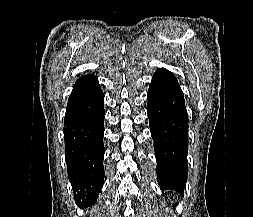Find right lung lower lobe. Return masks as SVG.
Returning <instances> with one entry per match:
<instances>
[{
	"label": "right lung lower lobe",
	"mask_w": 253,
	"mask_h": 217,
	"mask_svg": "<svg viewBox=\"0 0 253 217\" xmlns=\"http://www.w3.org/2000/svg\"><path fill=\"white\" fill-rule=\"evenodd\" d=\"M104 94L98 79L80 77L70 94L64 121V140L69 179L76 204L96 202L104 181Z\"/></svg>",
	"instance_id": "right-lung-lower-lobe-1"
}]
</instances>
